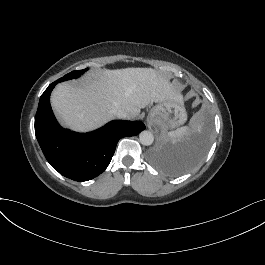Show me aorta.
I'll use <instances>...</instances> for the list:
<instances>
[{
    "mask_svg": "<svg viewBox=\"0 0 265 265\" xmlns=\"http://www.w3.org/2000/svg\"><path fill=\"white\" fill-rule=\"evenodd\" d=\"M139 140H140L141 144H143L145 146H149L153 143L154 136H153L152 132H150L148 130H144L139 134Z\"/></svg>",
    "mask_w": 265,
    "mask_h": 265,
    "instance_id": "obj_1",
    "label": "aorta"
}]
</instances>
